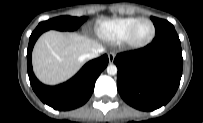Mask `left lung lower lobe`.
I'll return each instance as SVG.
<instances>
[{
	"label": "left lung lower lobe",
	"instance_id": "1",
	"mask_svg": "<svg viewBox=\"0 0 203 123\" xmlns=\"http://www.w3.org/2000/svg\"><path fill=\"white\" fill-rule=\"evenodd\" d=\"M117 88L130 106L153 111L176 93L183 68L182 50L175 30L156 35L144 48L118 54Z\"/></svg>",
	"mask_w": 203,
	"mask_h": 123
}]
</instances>
